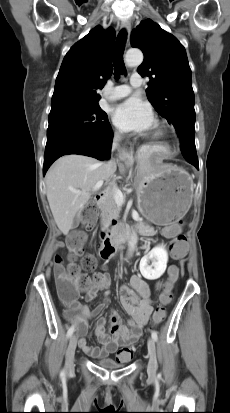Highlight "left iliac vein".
<instances>
[{
	"mask_svg": "<svg viewBox=\"0 0 230 413\" xmlns=\"http://www.w3.org/2000/svg\"><path fill=\"white\" fill-rule=\"evenodd\" d=\"M147 345H148V354H149V362H148L147 371L150 376H154L157 370L155 340L150 337L148 339Z\"/></svg>",
	"mask_w": 230,
	"mask_h": 413,
	"instance_id": "obj_1",
	"label": "left iliac vein"
}]
</instances>
